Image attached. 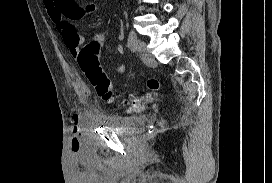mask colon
Listing matches in <instances>:
<instances>
[{
  "instance_id": "5ec220e1",
  "label": "colon",
  "mask_w": 272,
  "mask_h": 183,
  "mask_svg": "<svg viewBox=\"0 0 272 183\" xmlns=\"http://www.w3.org/2000/svg\"><path fill=\"white\" fill-rule=\"evenodd\" d=\"M101 48L102 44L98 41L92 40L88 42L78 54V63L81 70L95 88L97 95L104 101L113 102L112 84L99 64ZM147 86L150 90L154 91L159 88L160 83L157 79L151 78L147 81ZM151 98V93H145L141 96L133 97L124 103L128 106L129 111L139 112Z\"/></svg>"
}]
</instances>
